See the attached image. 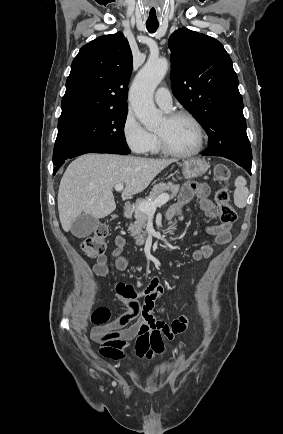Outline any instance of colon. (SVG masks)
<instances>
[{
    "instance_id": "5ec220e1",
    "label": "colon",
    "mask_w": 283,
    "mask_h": 434,
    "mask_svg": "<svg viewBox=\"0 0 283 434\" xmlns=\"http://www.w3.org/2000/svg\"><path fill=\"white\" fill-rule=\"evenodd\" d=\"M216 178L221 182L229 179L230 171L222 164L215 167ZM215 201L219 207L220 219L223 223L232 224L236 221L237 214L230 204V195L226 187H221L215 194ZM108 231L100 226L95 232L84 238L81 243L83 251L91 258L104 254L107 247ZM109 318V311L104 307L95 308L91 315V322L95 325H103Z\"/></svg>"
}]
</instances>
